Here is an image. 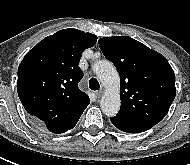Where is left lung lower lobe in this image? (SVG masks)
<instances>
[{"instance_id":"left-lung-lower-lobe-1","label":"left lung lower lobe","mask_w":190,"mask_h":165,"mask_svg":"<svg viewBox=\"0 0 190 165\" xmlns=\"http://www.w3.org/2000/svg\"><path fill=\"white\" fill-rule=\"evenodd\" d=\"M110 120L116 128L128 133H140L147 131L148 129L153 127V125H148V124H136V123L127 122L118 117H111Z\"/></svg>"}]
</instances>
